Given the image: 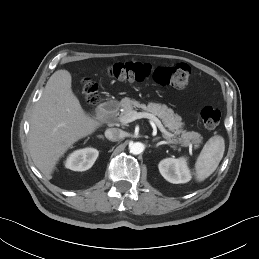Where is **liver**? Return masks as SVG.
I'll return each instance as SVG.
<instances>
[{
	"instance_id": "liver-1",
	"label": "liver",
	"mask_w": 259,
	"mask_h": 259,
	"mask_svg": "<svg viewBox=\"0 0 259 259\" xmlns=\"http://www.w3.org/2000/svg\"><path fill=\"white\" fill-rule=\"evenodd\" d=\"M71 83L67 70L54 72L31 116L29 152L47 179L52 178L57 162L68 148L100 126L83 110Z\"/></svg>"
}]
</instances>
